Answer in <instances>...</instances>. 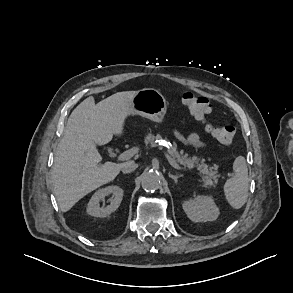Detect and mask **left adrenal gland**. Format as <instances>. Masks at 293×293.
I'll list each match as a JSON object with an SVG mask.
<instances>
[{"label": "left adrenal gland", "instance_id": "left-adrenal-gland-1", "mask_svg": "<svg viewBox=\"0 0 293 293\" xmlns=\"http://www.w3.org/2000/svg\"><path fill=\"white\" fill-rule=\"evenodd\" d=\"M170 178L174 180V182L177 184L178 178L182 177V174L173 175L171 173L168 174Z\"/></svg>", "mask_w": 293, "mask_h": 293}]
</instances>
